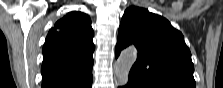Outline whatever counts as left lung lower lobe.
<instances>
[{
	"mask_svg": "<svg viewBox=\"0 0 223 88\" xmlns=\"http://www.w3.org/2000/svg\"><path fill=\"white\" fill-rule=\"evenodd\" d=\"M125 88H144V86L129 75V81Z\"/></svg>",
	"mask_w": 223,
	"mask_h": 88,
	"instance_id": "0a47b994",
	"label": "left lung lower lobe"
}]
</instances>
